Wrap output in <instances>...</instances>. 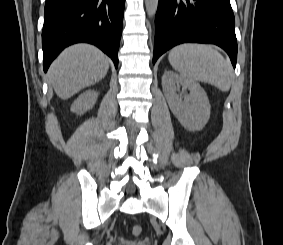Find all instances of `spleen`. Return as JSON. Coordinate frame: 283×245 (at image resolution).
<instances>
[{
  "mask_svg": "<svg viewBox=\"0 0 283 245\" xmlns=\"http://www.w3.org/2000/svg\"><path fill=\"white\" fill-rule=\"evenodd\" d=\"M169 62L183 77L229 91L233 81L230 63L212 46L184 43L171 49Z\"/></svg>",
  "mask_w": 283,
  "mask_h": 245,
  "instance_id": "obj_1",
  "label": "spleen"
}]
</instances>
